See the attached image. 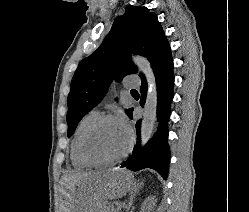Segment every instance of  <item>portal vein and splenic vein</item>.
I'll return each instance as SVG.
<instances>
[{"mask_svg": "<svg viewBox=\"0 0 249 212\" xmlns=\"http://www.w3.org/2000/svg\"><path fill=\"white\" fill-rule=\"evenodd\" d=\"M112 212H114V210H112ZM117 212H119V210H117Z\"/></svg>", "mask_w": 249, "mask_h": 212, "instance_id": "portal-vein-and-splenic-vein-1", "label": "portal vein and splenic vein"}]
</instances>
